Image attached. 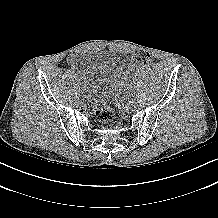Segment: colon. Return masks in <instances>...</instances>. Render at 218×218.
Here are the masks:
<instances>
[{"label": "colon", "mask_w": 218, "mask_h": 218, "mask_svg": "<svg viewBox=\"0 0 218 218\" xmlns=\"http://www.w3.org/2000/svg\"><path fill=\"white\" fill-rule=\"evenodd\" d=\"M135 60L141 64H148L152 61L151 55L146 51H139L134 55ZM96 117L100 122L108 123L114 117V111L109 101L101 102L96 107Z\"/></svg>", "instance_id": "1"}]
</instances>
